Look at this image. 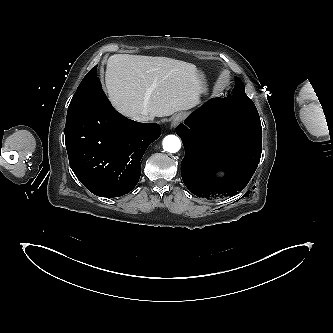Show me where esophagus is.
Segmentation results:
<instances>
[{"label": "esophagus", "instance_id": "esophagus-1", "mask_svg": "<svg viewBox=\"0 0 333 333\" xmlns=\"http://www.w3.org/2000/svg\"><path fill=\"white\" fill-rule=\"evenodd\" d=\"M184 119V114L179 113L177 115H175L172 119L171 122V128H175L177 125H179Z\"/></svg>", "mask_w": 333, "mask_h": 333}]
</instances>
